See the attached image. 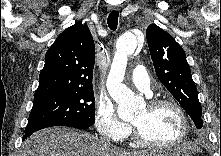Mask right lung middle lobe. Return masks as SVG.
I'll return each instance as SVG.
<instances>
[{"instance_id": "obj_1", "label": "right lung middle lobe", "mask_w": 221, "mask_h": 156, "mask_svg": "<svg viewBox=\"0 0 221 156\" xmlns=\"http://www.w3.org/2000/svg\"><path fill=\"white\" fill-rule=\"evenodd\" d=\"M93 89L56 93L35 98L25 133L51 126L93 125Z\"/></svg>"}]
</instances>
